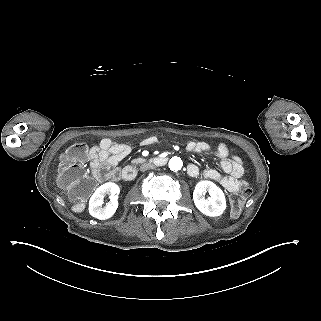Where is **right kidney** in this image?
Masks as SVG:
<instances>
[{
	"mask_svg": "<svg viewBox=\"0 0 321 321\" xmlns=\"http://www.w3.org/2000/svg\"><path fill=\"white\" fill-rule=\"evenodd\" d=\"M119 192V186L112 182H107L98 187L89 200L90 215L100 220L112 217L118 208ZM107 194L110 195V201L102 207L104 197Z\"/></svg>",
	"mask_w": 321,
	"mask_h": 321,
	"instance_id": "obj_1",
	"label": "right kidney"
}]
</instances>
